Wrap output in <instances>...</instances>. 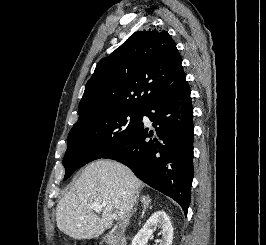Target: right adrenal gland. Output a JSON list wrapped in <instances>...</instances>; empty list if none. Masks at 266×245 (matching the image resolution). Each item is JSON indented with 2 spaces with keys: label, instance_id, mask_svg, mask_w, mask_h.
I'll return each instance as SVG.
<instances>
[{
  "label": "right adrenal gland",
  "instance_id": "1",
  "mask_svg": "<svg viewBox=\"0 0 266 245\" xmlns=\"http://www.w3.org/2000/svg\"><path fill=\"white\" fill-rule=\"evenodd\" d=\"M141 199H142V207H143L141 217L143 219L146 209H148V207H150V205H151V199H149L148 195H147V197H141Z\"/></svg>",
  "mask_w": 266,
  "mask_h": 245
}]
</instances>
